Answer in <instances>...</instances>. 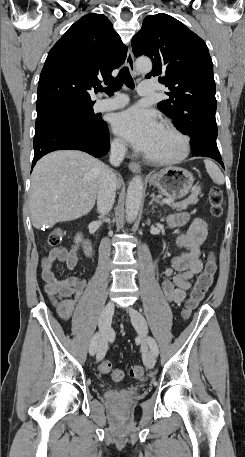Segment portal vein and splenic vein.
I'll return each mask as SVG.
<instances>
[{
    "mask_svg": "<svg viewBox=\"0 0 245 457\" xmlns=\"http://www.w3.org/2000/svg\"><path fill=\"white\" fill-rule=\"evenodd\" d=\"M163 202H174L173 198H163Z\"/></svg>",
    "mask_w": 245,
    "mask_h": 457,
    "instance_id": "obj_1",
    "label": "portal vein and splenic vein"
}]
</instances>
